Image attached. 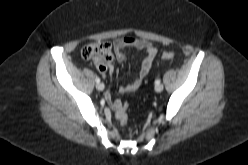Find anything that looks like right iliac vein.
<instances>
[{
    "label": "right iliac vein",
    "instance_id": "1",
    "mask_svg": "<svg viewBox=\"0 0 248 165\" xmlns=\"http://www.w3.org/2000/svg\"><path fill=\"white\" fill-rule=\"evenodd\" d=\"M96 88H97V90H99V91H103L104 90V88H105V86H104V84L103 83H97L96 84Z\"/></svg>",
    "mask_w": 248,
    "mask_h": 165
}]
</instances>
